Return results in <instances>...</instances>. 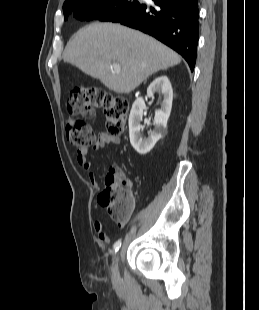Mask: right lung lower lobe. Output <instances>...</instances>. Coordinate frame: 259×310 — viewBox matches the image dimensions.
<instances>
[{
    "label": "right lung lower lobe",
    "mask_w": 259,
    "mask_h": 310,
    "mask_svg": "<svg viewBox=\"0 0 259 310\" xmlns=\"http://www.w3.org/2000/svg\"><path fill=\"white\" fill-rule=\"evenodd\" d=\"M141 4L119 23L147 33L177 51L193 71L199 38L198 0H153Z\"/></svg>",
    "instance_id": "1"
}]
</instances>
